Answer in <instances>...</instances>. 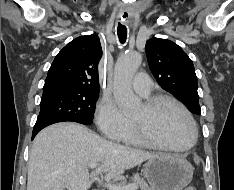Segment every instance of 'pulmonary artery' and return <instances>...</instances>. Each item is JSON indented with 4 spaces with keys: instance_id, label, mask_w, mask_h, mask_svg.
<instances>
[{
    "instance_id": "obj_1",
    "label": "pulmonary artery",
    "mask_w": 234,
    "mask_h": 190,
    "mask_svg": "<svg viewBox=\"0 0 234 190\" xmlns=\"http://www.w3.org/2000/svg\"><path fill=\"white\" fill-rule=\"evenodd\" d=\"M132 85L133 89L144 97L148 96L151 92L152 82L145 73L137 74Z\"/></svg>"
}]
</instances>
